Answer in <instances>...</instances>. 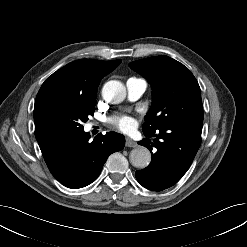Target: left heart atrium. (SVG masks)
I'll return each instance as SVG.
<instances>
[{"label": "left heart atrium", "instance_id": "obj_1", "mask_svg": "<svg viewBox=\"0 0 247 247\" xmlns=\"http://www.w3.org/2000/svg\"><path fill=\"white\" fill-rule=\"evenodd\" d=\"M110 122L124 132L131 131L135 125L134 119L128 115L115 116Z\"/></svg>", "mask_w": 247, "mask_h": 247}]
</instances>
